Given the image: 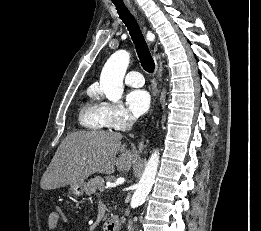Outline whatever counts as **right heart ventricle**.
I'll return each instance as SVG.
<instances>
[{
    "label": "right heart ventricle",
    "instance_id": "e07e8e85",
    "mask_svg": "<svg viewBox=\"0 0 261 231\" xmlns=\"http://www.w3.org/2000/svg\"><path fill=\"white\" fill-rule=\"evenodd\" d=\"M91 100L79 110L78 120L81 126L92 130H103L106 126L102 116L101 104L95 101L96 90L91 87L88 91Z\"/></svg>",
    "mask_w": 261,
    "mask_h": 231
}]
</instances>
